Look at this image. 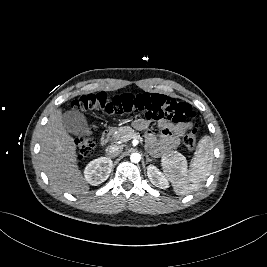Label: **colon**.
<instances>
[{"mask_svg":"<svg viewBox=\"0 0 267 267\" xmlns=\"http://www.w3.org/2000/svg\"><path fill=\"white\" fill-rule=\"evenodd\" d=\"M73 107L81 111H103L109 115H125L148 120L167 119L172 122H183L196 118L192 106L158 93L122 94L109 98L104 93L81 96L73 102ZM197 121L184 136V144L189 151L196 145ZM95 146L91 134L76 141V152L79 158L87 157Z\"/></svg>","mask_w":267,"mask_h":267,"instance_id":"colon-1","label":"colon"}]
</instances>
